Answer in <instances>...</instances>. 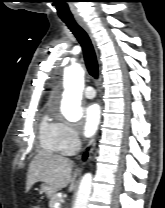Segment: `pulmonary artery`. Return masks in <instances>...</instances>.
<instances>
[{
  "instance_id": "1",
  "label": "pulmonary artery",
  "mask_w": 165,
  "mask_h": 208,
  "mask_svg": "<svg viewBox=\"0 0 165 208\" xmlns=\"http://www.w3.org/2000/svg\"><path fill=\"white\" fill-rule=\"evenodd\" d=\"M83 95L88 99H93L96 96V92L92 86H86L83 90Z\"/></svg>"
}]
</instances>
